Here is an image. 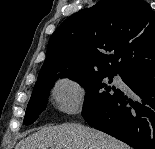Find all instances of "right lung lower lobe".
<instances>
[{
	"instance_id": "98d812e1",
	"label": "right lung lower lobe",
	"mask_w": 155,
	"mask_h": 149,
	"mask_svg": "<svg viewBox=\"0 0 155 149\" xmlns=\"http://www.w3.org/2000/svg\"><path fill=\"white\" fill-rule=\"evenodd\" d=\"M122 79L134 94L120 92L85 121L134 149H155V66L132 70Z\"/></svg>"
}]
</instances>
